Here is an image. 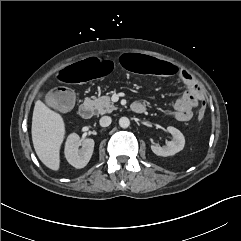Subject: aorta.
<instances>
[{"instance_id": "1", "label": "aorta", "mask_w": 241, "mask_h": 241, "mask_svg": "<svg viewBox=\"0 0 241 241\" xmlns=\"http://www.w3.org/2000/svg\"><path fill=\"white\" fill-rule=\"evenodd\" d=\"M119 125L122 128H128L130 125V120L127 117H121L119 119Z\"/></svg>"}]
</instances>
